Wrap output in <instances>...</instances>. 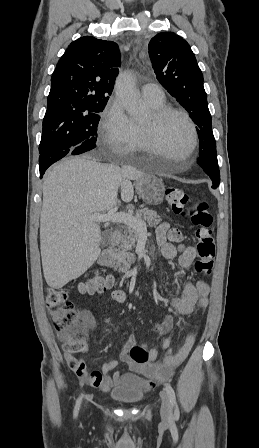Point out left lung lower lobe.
I'll list each match as a JSON object with an SVG mask.
<instances>
[{"instance_id":"1","label":"left lung lower lobe","mask_w":259,"mask_h":448,"mask_svg":"<svg viewBox=\"0 0 259 448\" xmlns=\"http://www.w3.org/2000/svg\"><path fill=\"white\" fill-rule=\"evenodd\" d=\"M198 164L211 178L212 188H217L220 183V172L216 155V146L200 151Z\"/></svg>"}]
</instances>
